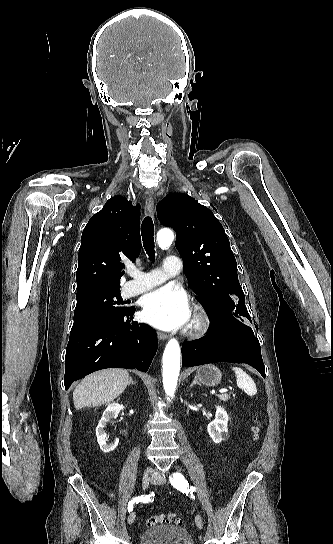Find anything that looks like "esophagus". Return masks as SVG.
<instances>
[{
  "label": "esophagus",
  "instance_id": "esophagus-1",
  "mask_svg": "<svg viewBox=\"0 0 333 544\" xmlns=\"http://www.w3.org/2000/svg\"><path fill=\"white\" fill-rule=\"evenodd\" d=\"M145 209L150 216H154V199L151 196H148L145 201ZM157 337L159 340H166L168 338L167 334L158 331Z\"/></svg>",
  "mask_w": 333,
  "mask_h": 544
}]
</instances>
